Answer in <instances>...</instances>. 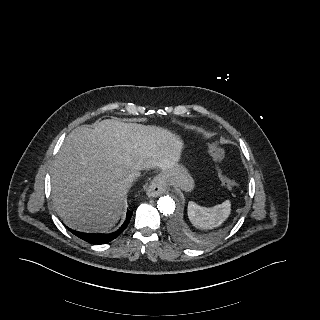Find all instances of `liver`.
<instances>
[{"instance_id": "6515ba94", "label": "liver", "mask_w": 320, "mask_h": 320, "mask_svg": "<svg viewBox=\"0 0 320 320\" xmlns=\"http://www.w3.org/2000/svg\"><path fill=\"white\" fill-rule=\"evenodd\" d=\"M182 141L169 130L105 119L66 137L51 175L54 207L80 232H106L119 221L130 187L127 175L159 167L171 170Z\"/></svg>"}]
</instances>
